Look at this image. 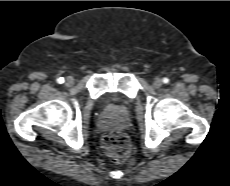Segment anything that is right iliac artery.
Segmentation results:
<instances>
[{
  "mask_svg": "<svg viewBox=\"0 0 230 186\" xmlns=\"http://www.w3.org/2000/svg\"><path fill=\"white\" fill-rule=\"evenodd\" d=\"M57 82H58L59 84L64 83V78H63V77L58 78V79H57Z\"/></svg>",
  "mask_w": 230,
  "mask_h": 186,
  "instance_id": "82829eb1",
  "label": "right iliac artery"
}]
</instances>
